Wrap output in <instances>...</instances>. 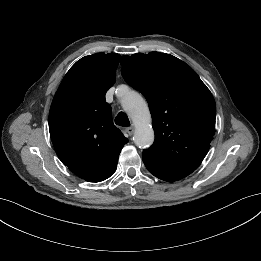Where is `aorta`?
I'll list each match as a JSON object with an SVG mask.
<instances>
[{"label": "aorta", "instance_id": "aorta-1", "mask_svg": "<svg viewBox=\"0 0 261 261\" xmlns=\"http://www.w3.org/2000/svg\"><path fill=\"white\" fill-rule=\"evenodd\" d=\"M121 89H126V87ZM121 104L135 125L133 140L136 146L139 148L151 146L155 135L151 126V114L146 101L137 92L127 90L121 97Z\"/></svg>", "mask_w": 261, "mask_h": 261}]
</instances>
